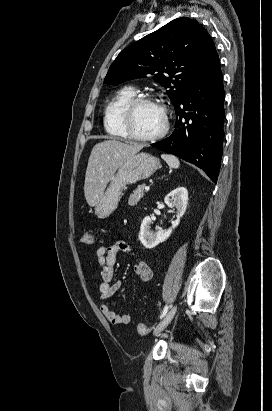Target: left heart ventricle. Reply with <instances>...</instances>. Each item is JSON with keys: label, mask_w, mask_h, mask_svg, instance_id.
<instances>
[{"label": "left heart ventricle", "mask_w": 272, "mask_h": 411, "mask_svg": "<svg viewBox=\"0 0 272 411\" xmlns=\"http://www.w3.org/2000/svg\"><path fill=\"white\" fill-rule=\"evenodd\" d=\"M163 125V114L160 107L154 103L140 104L133 116L132 126L134 131L142 136L157 133Z\"/></svg>", "instance_id": "obj_1"}]
</instances>
